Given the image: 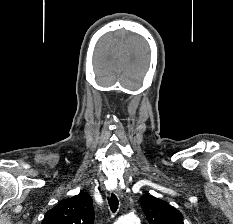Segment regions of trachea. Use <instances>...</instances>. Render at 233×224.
<instances>
[{
  "label": "trachea",
  "instance_id": "obj_1",
  "mask_svg": "<svg viewBox=\"0 0 233 224\" xmlns=\"http://www.w3.org/2000/svg\"><path fill=\"white\" fill-rule=\"evenodd\" d=\"M108 203H109L111 211L115 213L119 205L118 199L115 194L113 193L111 194L110 198H108Z\"/></svg>",
  "mask_w": 233,
  "mask_h": 224
}]
</instances>
